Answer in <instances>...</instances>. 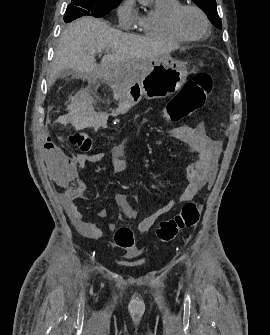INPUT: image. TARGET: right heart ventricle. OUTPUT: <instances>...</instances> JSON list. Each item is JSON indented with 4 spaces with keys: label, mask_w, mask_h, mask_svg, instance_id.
I'll list each match as a JSON object with an SVG mask.
<instances>
[{
    "label": "right heart ventricle",
    "mask_w": 270,
    "mask_h": 335,
    "mask_svg": "<svg viewBox=\"0 0 270 335\" xmlns=\"http://www.w3.org/2000/svg\"><path fill=\"white\" fill-rule=\"evenodd\" d=\"M152 11L137 14L135 25L147 36L159 40L182 42L183 38L175 34L169 26V15L182 5L181 0H155Z\"/></svg>",
    "instance_id": "obj_1"
}]
</instances>
